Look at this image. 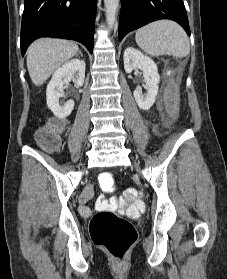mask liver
Wrapping results in <instances>:
<instances>
[{
  "mask_svg": "<svg viewBox=\"0 0 227 279\" xmlns=\"http://www.w3.org/2000/svg\"><path fill=\"white\" fill-rule=\"evenodd\" d=\"M79 51L76 43L63 39L42 38L27 50V68L32 82L42 85L63 63Z\"/></svg>",
  "mask_w": 227,
  "mask_h": 279,
  "instance_id": "6515ba94",
  "label": "liver"
}]
</instances>
